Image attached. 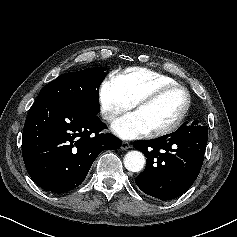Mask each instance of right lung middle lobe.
Listing matches in <instances>:
<instances>
[{
    "mask_svg": "<svg viewBox=\"0 0 237 237\" xmlns=\"http://www.w3.org/2000/svg\"><path fill=\"white\" fill-rule=\"evenodd\" d=\"M105 70L98 67L64 73L45 85L36 100L57 101L85 114L97 115L98 92Z\"/></svg>",
    "mask_w": 237,
    "mask_h": 237,
    "instance_id": "1",
    "label": "right lung middle lobe"
}]
</instances>
